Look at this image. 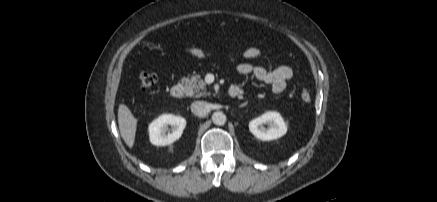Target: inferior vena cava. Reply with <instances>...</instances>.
<instances>
[{
  "instance_id": "inferior-vena-cava-1",
  "label": "inferior vena cava",
  "mask_w": 437,
  "mask_h": 202,
  "mask_svg": "<svg viewBox=\"0 0 437 202\" xmlns=\"http://www.w3.org/2000/svg\"><path fill=\"white\" fill-rule=\"evenodd\" d=\"M191 111L196 116L204 117L210 111V107L207 102L195 101L191 104Z\"/></svg>"
}]
</instances>
